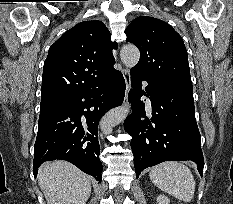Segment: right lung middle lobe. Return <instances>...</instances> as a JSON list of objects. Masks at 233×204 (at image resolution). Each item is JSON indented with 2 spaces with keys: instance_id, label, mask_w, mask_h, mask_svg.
Segmentation results:
<instances>
[{
  "instance_id": "right-lung-middle-lobe-1",
  "label": "right lung middle lobe",
  "mask_w": 233,
  "mask_h": 204,
  "mask_svg": "<svg viewBox=\"0 0 233 204\" xmlns=\"http://www.w3.org/2000/svg\"><path fill=\"white\" fill-rule=\"evenodd\" d=\"M63 103H64V101L41 104L40 117H43L45 115L52 113L57 108H59Z\"/></svg>"
}]
</instances>
